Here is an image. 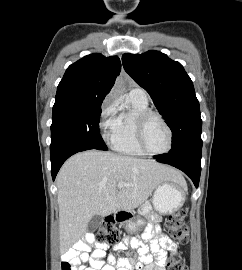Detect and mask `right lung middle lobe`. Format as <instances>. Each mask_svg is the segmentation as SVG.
I'll use <instances>...</instances> for the list:
<instances>
[{
	"instance_id": "1",
	"label": "right lung middle lobe",
	"mask_w": 242,
	"mask_h": 270,
	"mask_svg": "<svg viewBox=\"0 0 242 270\" xmlns=\"http://www.w3.org/2000/svg\"><path fill=\"white\" fill-rule=\"evenodd\" d=\"M101 112V104L53 107L51 156L61 150L79 146L107 150V146L99 132V117Z\"/></svg>"
}]
</instances>
